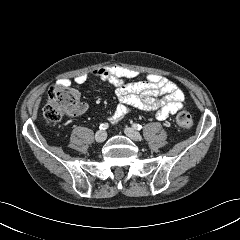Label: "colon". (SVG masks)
I'll return each mask as SVG.
<instances>
[{
    "mask_svg": "<svg viewBox=\"0 0 240 240\" xmlns=\"http://www.w3.org/2000/svg\"><path fill=\"white\" fill-rule=\"evenodd\" d=\"M81 108L79 91L73 87L57 83L49 89L43 117L48 123H57L63 116L75 113ZM176 123L182 128H190L193 124L191 114L186 110L178 111Z\"/></svg>",
    "mask_w": 240,
    "mask_h": 240,
    "instance_id": "5ec220e1",
    "label": "colon"
}]
</instances>
